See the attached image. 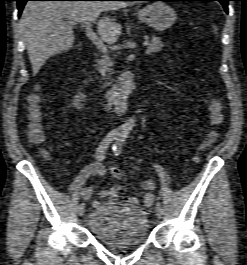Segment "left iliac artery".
Wrapping results in <instances>:
<instances>
[{"label":"left iliac artery","mask_w":247,"mask_h":265,"mask_svg":"<svg viewBox=\"0 0 247 265\" xmlns=\"http://www.w3.org/2000/svg\"><path fill=\"white\" fill-rule=\"evenodd\" d=\"M126 137H127V134L124 133V134H121L120 137L116 139V142L113 145V151H114L116 156H118L120 154L121 148L123 146V143H124ZM154 168H155L156 172L158 173V175L160 176L162 182H165L166 177H165L164 169L158 164H155ZM158 199H159V197H158Z\"/></svg>","instance_id":"1"}]
</instances>
